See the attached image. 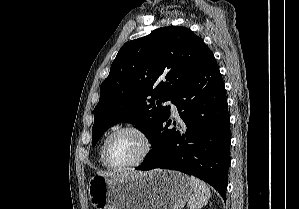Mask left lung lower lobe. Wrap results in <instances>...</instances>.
I'll return each instance as SVG.
<instances>
[{
    "label": "left lung lower lobe",
    "mask_w": 299,
    "mask_h": 209,
    "mask_svg": "<svg viewBox=\"0 0 299 209\" xmlns=\"http://www.w3.org/2000/svg\"><path fill=\"white\" fill-rule=\"evenodd\" d=\"M181 124L169 129L170 110L151 140L153 149L137 170L172 169L194 175L226 200L230 117L225 86L213 57L172 97ZM176 125V123H174Z\"/></svg>",
    "instance_id": "left-lung-lower-lobe-1"
}]
</instances>
